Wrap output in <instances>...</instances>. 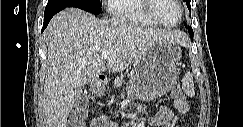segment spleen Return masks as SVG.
<instances>
[{
    "instance_id": "1",
    "label": "spleen",
    "mask_w": 243,
    "mask_h": 127,
    "mask_svg": "<svg viewBox=\"0 0 243 127\" xmlns=\"http://www.w3.org/2000/svg\"><path fill=\"white\" fill-rule=\"evenodd\" d=\"M182 89L190 97L195 95L193 75L188 72L182 79Z\"/></svg>"
}]
</instances>
